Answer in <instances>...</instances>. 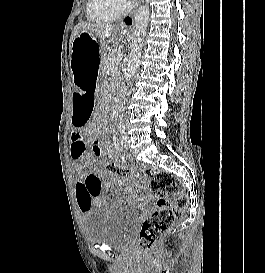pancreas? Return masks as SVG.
I'll return each instance as SVG.
<instances>
[{
    "label": "pancreas",
    "mask_w": 265,
    "mask_h": 273,
    "mask_svg": "<svg viewBox=\"0 0 265 273\" xmlns=\"http://www.w3.org/2000/svg\"><path fill=\"white\" fill-rule=\"evenodd\" d=\"M120 53L118 51L109 52L103 59L100 70L103 76H107L111 67L116 66L120 59Z\"/></svg>",
    "instance_id": "pancreas-1"
}]
</instances>
